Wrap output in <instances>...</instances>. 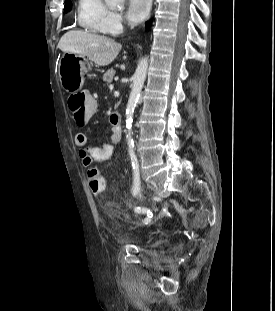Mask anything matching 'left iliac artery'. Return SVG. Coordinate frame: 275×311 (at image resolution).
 Returning a JSON list of instances; mask_svg holds the SVG:
<instances>
[{"label":"left iliac artery","mask_w":275,"mask_h":311,"mask_svg":"<svg viewBox=\"0 0 275 311\" xmlns=\"http://www.w3.org/2000/svg\"><path fill=\"white\" fill-rule=\"evenodd\" d=\"M131 161H132V166H133V175H134V181H133V189H132V194L135 196L139 191H140V173H139V163L136 155L134 153L130 154ZM137 208L136 210H138ZM147 213H150L148 210ZM152 215V213H150ZM149 215L148 217L144 220V222L148 223L150 221Z\"/></svg>","instance_id":"obj_1"}]
</instances>
